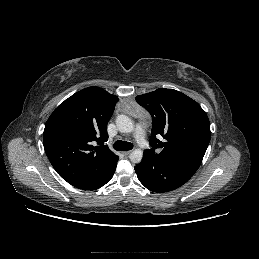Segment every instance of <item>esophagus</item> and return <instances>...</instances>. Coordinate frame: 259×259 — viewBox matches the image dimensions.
<instances>
[{"instance_id":"esophagus-1","label":"esophagus","mask_w":259,"mask_h":259,"mask_svg":"<svg viewBox=\"0 0 259 259\" xmlns=\"http://www.w3.org/2000/svg\"><path fill=\"white\" fill-rule=\"evenodd\" d=\"M130 153H131V151H124V152H123V154H124L125 156H128Z\"/></svg>"}]
</instances>
